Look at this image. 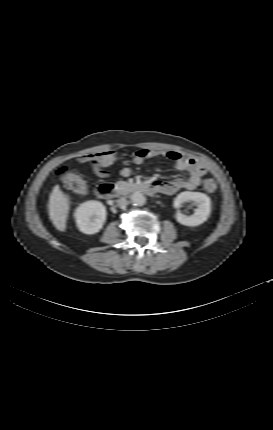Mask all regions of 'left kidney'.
<instances>
[{"instance_id": "1", "label": "left kidney", "mask_w": 273, "mask_h": 430, "mask_svg": "<svg viewBox=\"0 0 273 430\" xmlns=\"http://www.w3.org/2000/svg\"><path fill=\"white\" fill-rule=\"evenodd\" d=\"M185 202H192L197 208L190 216L178 211L175 218L180 224L194 227L204 223L208 219L211 212V199L206 194L190 191L182 192L174 199V207L180 208Z\"/></svg>"}]
</instances>
